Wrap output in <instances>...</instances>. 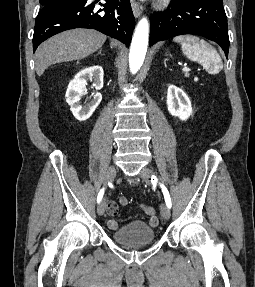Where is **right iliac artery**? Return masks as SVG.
Segmentation results:
<instances>
[{"label": "right iliac artery", "mask_w": 255, "mask_h": 287, "mask_svg": "<svg viewBox=\"0 0 255 287\" xmlns=\"http://www.w3.org/2000/svg\"><path fill=\"white\" fill-rule=\"evenodd\" d=\"M103 194H104V189H101V191L99 192L98 194V197H97V202L99 203L103 197Z\"/></svg>", "instance_id": "right-iliac-artery-1"}]
</instances>
